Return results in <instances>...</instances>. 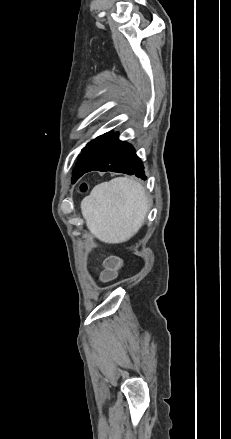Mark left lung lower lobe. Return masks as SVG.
I'll use <instances>...</instances> for the list:
<instances>
[{
	"label": "left lung lower lobe",
	"instance_id": "obj_1",
	"mask_svg": "<svg viewBox=\"0 0 231 439\" xmlns=\"http://www.w3.org/2000/svg\"><path fill=\"white\" fill-rule=\"evenodd\" d=\"M112 171L135 175L146 180L142 161L134 148L118 139V133L112 134L99 150L91 165L82 173L90 171ZM81 175V176H82Z\"/></svg>",
	"mask_w": 231,
	"mask_h": 439
}]
</instances>
